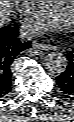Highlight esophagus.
I'll return each instance as SVG.
<instances>
[{
    "instance_id": "obj_1",
    "label": "esophagus",
    "mask_w": 74,
    "mask_h": 122,
    "mask_svg": "<svg viewBox=\"0 0 74 122\" xmlns=\"http://www.w3.org/2000/svg\"><path fill=\"white\" fill-rule=\"evenodd\" d=\"M32 48L34 50H48L51 49V46L48 44H44V43H39L37 41H33L32 42Z\"/></svg>"
}]
</instances>
